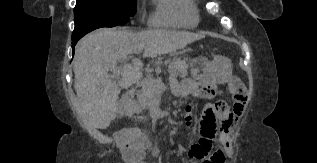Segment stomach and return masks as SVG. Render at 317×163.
Here are the masks:
<instances>
[{
	"label": "stomach",
	"mask_w": 317,
	"mask_h": 163,
	"mask_svg": "<svg viewBox=\"0 0 317 163\" xmlns=\"http://www.w3.org/2000/svg\"><path fill=\"white\" fill-rule=\"evenodd\" d=\"M195 77H210L218 83L226 82L232 74L230 59L215 55L211 59H203L193 70Z\"/></svg>",
	"instance_id": "obj_1"
}]
</instances>
